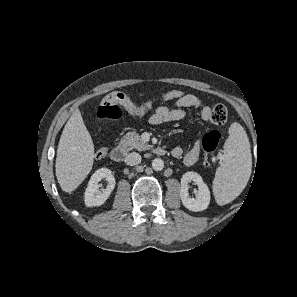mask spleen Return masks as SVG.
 Listing matches in <instances>:
<instances>
[{
	"instance_id": "obj_1",
	"label": "spleen",
	"mask_w": 297,
	"mask_h": 297,
	"mask_svg": "<svg viewBox=\"0 0 297 297\" xmlns=\"http://www.w3.org/2000/svg\"><path fill=\"white\" fill-rule=\"evenodd\" d=\"M251 168L252 156L247 134L239 123H233L224 145V160L216 171V198L233 199L238 196L247 184Z\"/></svg>"
}]
</instances>
